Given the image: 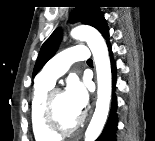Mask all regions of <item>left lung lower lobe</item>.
Segmentation results:
<instances>
[{
    "mask_svg": "<svg viewBox=\"0 0 155 141\" xmlns=\"http://www.w3.org/2000/svg\"><path fill=\"white\" fill-rule=\"evenodd\" d=\"M105 39L107 42L109 55H110V59H111L112 87H113V91H114L115 84H116V62L113 60L112 48L109 43V34L105 37ZM116 107H117V100H116L115 94H113L109 118L107 120V123H106L104 129H103V132L101 133V135L99 136V138L96 141H115V132H116L117 125H118Z\"/></svg>",
    "mask_w": 155,
    "mask_h": 141,
    "instance_id": "0a47b994",
    "label": "left lung lower lobe"
}]
</instances>
